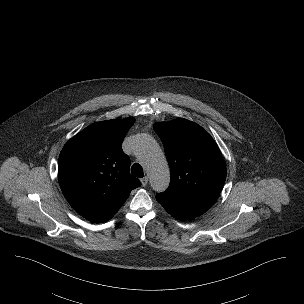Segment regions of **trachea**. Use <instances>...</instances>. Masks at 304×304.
Instances as JSON below:
<instances>
[{"mask_svg": "<svg viewBox=\"0 0 304 304\" xmlns=\"http://www.w3.org/2000/svg\"><path fill=\"white\" fill-rule=\"evenodd\" d=\"M131 173L137 178H142L144 176L143 168L140 164L134 163L131 167Z\"/></svg>", "mask_w": 304, "mask_h": 304, "instance_id": "3493384b", "label": "trachea"}]
</instances>
